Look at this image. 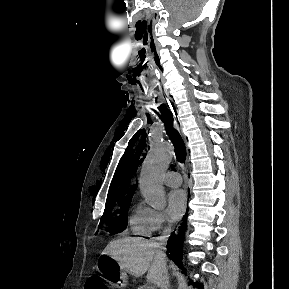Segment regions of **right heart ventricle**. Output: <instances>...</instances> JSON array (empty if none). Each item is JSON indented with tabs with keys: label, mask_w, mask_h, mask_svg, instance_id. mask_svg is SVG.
<instances>
[{
	"label": "right heart ventricle",
	"mask_w": 289,
	"mask_h": 289,
	"mask_svg": "<svg viewBox=\"0 0 289 289\" xmlns=\"http://www.w3.org/2000/svg\"><path fill=\"white\" fill-rule=\"evenodd\" d=\"M153 215V209L140 203L135 204L129 216L132 232L135 235L150 236L153 232Z\"/></svg>",
	"instance_id": "obj_1"
}]
</instances>
